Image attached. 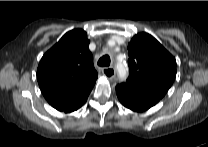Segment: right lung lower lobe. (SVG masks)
I'll use <instances>...</instances> for the list:
<instances>
[{
	"label": "right lung lower lobe",
	"instance_id": "right-lung-lower-lobe-1",
	"mask_svg": "<svg viewBox=\"0 0 208 147\" xmlns=\"http://www.w3.org/2000/svg\"><path fill=\"white\" fill-rule=\"evenodd\" d=\"M83 104H84V103H83ZM83 104H82V105H83ZM82 105H80L79 107H77V108H75V109H73V110L68 111V113L77 110V109L80 108Z\"/></svg>",
	"mask_w": 208,
	"mask_h": 147
}]
</instances>
